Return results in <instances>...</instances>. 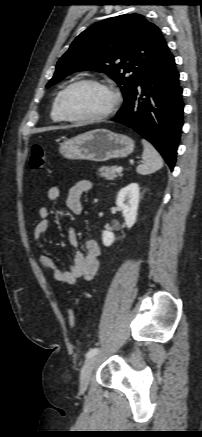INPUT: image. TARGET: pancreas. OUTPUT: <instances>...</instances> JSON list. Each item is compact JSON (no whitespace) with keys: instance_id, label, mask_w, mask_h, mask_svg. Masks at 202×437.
<instances>
[{"instance_id":"obj_1","label":"pancreas","mask_w":202,"mask_h":437,"mask_svg":"<svg viewBox=\"0 0 202 437\" xmlns=\"http://www.w3.org/2000/svg\"><path fill=\"white\" fill-rule=\"evenodd\" d=\"M116 169L117 166H102L101 168H99L98 172L99 175L106 180H114L118 176H121V174H117Z\"/></svg>"}]
</instances>
